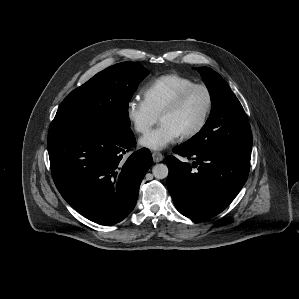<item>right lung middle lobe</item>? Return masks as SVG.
Masks as SVG:
<instances>
[{"label":"right lung middle lobe","instance_id":"right-lung-middle-lobe-1","mask_svg":"<svg viewBox=\"0 0 299 299\" xmlns=\"http://www.w3.org/2000/svg\"><path fill=\"white\" fill-rule=\"evenodd\" d=\"M148 73L146 68L134 62L106 68L63 100L50 129L130 128L128 103Z\"/></svg>","mask_w":299,"mask_h":299}]
</instances>
